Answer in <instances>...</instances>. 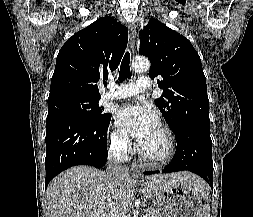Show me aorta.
Here are the masks:
<instances>
[{
  "mask_svg": "<svg viewBox=\"0 0 253 217\" xmlns=\"http://www.w3.org/2000/svg\"><path fill=\"white\" fill-rule=\"evenodd\" d=\"M150 68V62L146 58H135L132 61V69L137 73L148 71Z\"/></svg>",
  "mask_w": 253,
  "mask_h": 217,
  "instance_id": "1",
  "label": "aorta"
}]
</instances>
